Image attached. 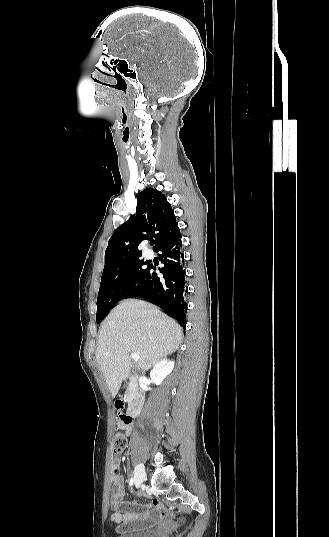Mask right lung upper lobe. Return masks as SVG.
<instances>
[{
  "instance_id": "cb5924a9",
  "label": "right lung upper lobe",
  "mask_w": 329,
  "mask_h": 537,
  "mask_svg": "<svg viewBox=\"0 0 329 537\" xmlns=\"http://www.w3.org/2000/svg\"><path fill=\"white\" fill-rule=\"evenodd\" d=\"M136 215L118 227L105 251V266L129 262L141 256L138 245L155 239V250L161 242L179 230L174 212L165 196L156 189H144L137 197Z\"/></svg>"
}]
</instances>
